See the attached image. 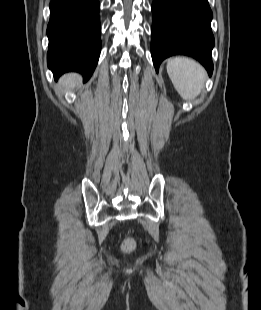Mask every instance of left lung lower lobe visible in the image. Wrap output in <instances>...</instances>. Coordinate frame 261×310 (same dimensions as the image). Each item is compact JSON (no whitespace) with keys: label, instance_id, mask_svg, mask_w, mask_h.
<instances>
[{"label":"left lung lower lobe","instance_id":"obj_1","mask_svg":"<svg viewBox=\"0 0 261 310\" xmlns=\"http://www.w3.org/2000/svg\"><path fill=\"white\" fill-rule=\"evenodd\" d=\"M152 12L151 54L156 71L165 58L184 54L197 59L211 75L214 37L208 0H153Z\"/></svg>","mask_w":261,"mask_h":310}]
</instances>
